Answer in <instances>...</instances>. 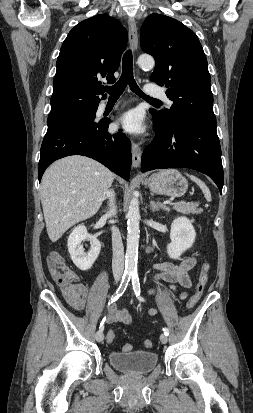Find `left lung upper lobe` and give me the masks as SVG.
Masks as SVG:
<instances>
[{
    "label": "left lung upper lobe",
    "mask_w": 253,
    "mask_h": 413,
    "mask_svg": "<svg viewBox=\"0 0 253 413\" xmlns=\"http://www.w3.org/2000/svg\"><path fill=\"white\" fill-rule=\"evenodd\" d=\"M141 48L156 60L150 80L165 85L173 104L151 110L164 129L194 121L216 127L207 59L196 34L181 22L151 14L141 27Z\"/></svg>",
    "instance_id": "obj_1"
}]
</instances>
